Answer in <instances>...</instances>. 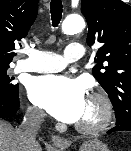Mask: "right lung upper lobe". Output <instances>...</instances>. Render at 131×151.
<instances>
[{
    "label": "right lung upper lobe",
    "mask_w": 131,
    "mask_h": 151,
    "mask_svg": "<svg viewBox=\"0 0 131 151\" xmlns=\"http://www.w3.org/2000/svg\"><path fill=\"white\" fill-rule=\"evenodd\" d=\"M38 0H0V64H9L15 46L26 37L37 16Z\"/></svg>",
    "instance_id": "1"
}]
</instances>
